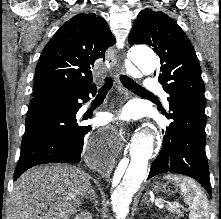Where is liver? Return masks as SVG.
Listing matches in <instances>:
<instances>
[{
  "instance_id": "liver-1",
  "label": "liver",
  "mask_w": 221,
  "mask_h": 219,
  "mask_svg": "<svg viewBox=\"0 0 221 219\" xmlns=\"http://www.w3.org/2000/svg\"><path fill=\"white\" fill-rule=\"evenodd\" d=\"M92 189L90 176L76 166H37L14 185L10 219H69Z\"/></svg>"
}]
</instances>
